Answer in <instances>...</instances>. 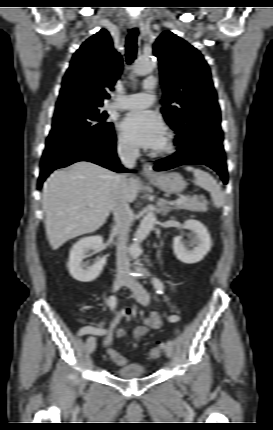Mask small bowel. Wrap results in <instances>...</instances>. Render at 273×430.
I'll list each match as a JSON object with an SVG mask.
<instances>
[{
	"instance_id": "small-bowel-1",
	"label": "small bowel",
	"mask_w": 273,
	"mask_h": 430,
	"mask_svg": "<svg viewBox=\"0 0 273 430\" xmlns=\"http://www.w3.org/2000/svg\"><path fill=\"white\" fill-rule=\"evenodd\" d=\"M171 286L173 287L174 284L171 283ZM127 319H128L127 311L125 310L121 311L114 325L110 329H108L105 334H102L104 335L102 339V344L105 348H107L108 352L110 350H114L113 349L114 334L119 339L126 340L124 323L127 321ZM161 325H162V322L157 313H152L149 318H144L142 320V324L140 326H137L134 330L135 342L132 343V345L136 347L138 342L142 339V337L148 333L149 328L157 329V328H160ZM97 330H104L102 323H99L97 326L85 325L80 328L78 334L79 335L95 334L94 332Z\"/></svg>"
}]
</instances>
